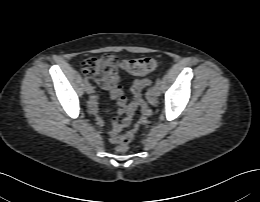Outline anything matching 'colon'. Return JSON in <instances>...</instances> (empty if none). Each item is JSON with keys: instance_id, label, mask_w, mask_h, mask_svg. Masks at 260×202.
Masks as SVG:
<instances>
[{"instance_id": "colon-1", "label": "colon", "mask_w": 260, "mask_h": 202, "mask_svg": "<svg viewBox=\"0 0 260 202\" xmlns=\"http://www.w3.org/2000/svg\"><path fill=\"white\" fill-rule=\"evenodd\" d=\"M156 60L151 57L118 61L117 57L111 54L101 58H89L82 62L81 68L84 75L101 84H107L116 79L119 69L124 70L133 76H144L156 68ZM151 81L148 79H139L134 83V102L141 107V117L139 121L126 133L117 138L119 145L117 151L120 153L127 152V144L130 143L139 129L145 125L151 115V110L142 98L144 88L150 86Z\"/></svg>"}]
</instances>
